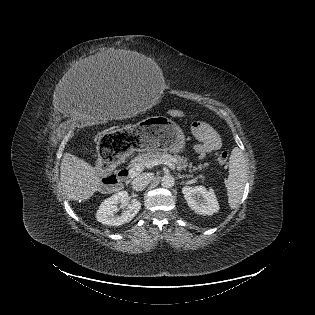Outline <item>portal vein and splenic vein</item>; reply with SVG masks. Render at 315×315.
I'll return each instance as SVG.
<instances>
[{"instance_id": "18ae733b", "label": "portal vein and splenic vein", "mask_w": 315, "mask_h": 315, "mask_svg": "<svg viewBox=\"0 0 315 315\" xmlns=\"http://www.w3.org/2000/svg\"><path fill=\"white\" fill-rule=\"evenodd\" d=\"M160 164L167 165L171 169L176 168L175 165L167 159H155V160H152V161L145 163L144 166L142 164L135 165L133 168H131L129 170V175H130V177H135L142 172L144 167L152 168V167H154L156 165H160Z\"/></svg>"}]
</instances>
